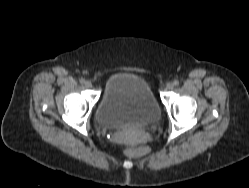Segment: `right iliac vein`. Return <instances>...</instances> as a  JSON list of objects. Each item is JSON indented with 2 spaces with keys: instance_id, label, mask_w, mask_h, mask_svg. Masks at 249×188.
<instances>
[{
  "instance_id": "63e3f726",
  "label": "right iliac vein",
  "mask_w": 249,
  "mask_h": 188,
  "mask_svg": "<svg viewBox=\"0 0 249 188\" xmlns=\"http://www.w3.org/2000/svg\"><path fill=\"white\" fill-rule=\"evenodd\" d=\"M85 86H86L87 88H91V87H92V83H91L90 81H86V82H85Z\"/></svg>"
}]
</instances>
